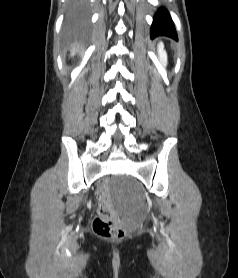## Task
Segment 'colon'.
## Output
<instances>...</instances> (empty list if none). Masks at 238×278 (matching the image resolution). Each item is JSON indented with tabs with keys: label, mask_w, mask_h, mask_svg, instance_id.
I'll use <instances>...</instances> for the list:
<instances>
[{
	"label": "colon",
	"mask_w": 238,
	"mask_h": 278,
	"mask_svg": "<svg viewBox=\"0 0 238 278\" xmlns=\"http://www.w3.org/2000/svg\"><path fill=\"white\" fill-rule=\"evenodd\" d=\"M102 199L100 203V215L92 224L94 233L104 239L120 240L125 237L126 232L119 223L115 212L109 206L105 197L110 191V177H101L99 187Z\"/></svg>",
	"instance_id": "colon-1"
}]
</instances>
